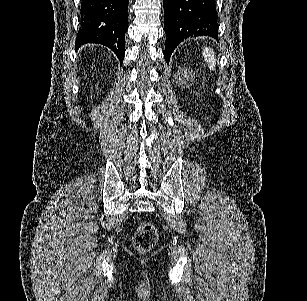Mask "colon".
Listing matches in <instances>:
<instances>
[{
  "mask_svg": "<svg viewBox=\"0 0 307 301\" xmlns=\"http://www.w3.org/2000/svg\"><path fill=\"white\" fill-rule=\"evenodd\" d=\"M158 239V231L150 222H142L133 235V246L140 253L153 249Z\"/></svg>",
  "mask_w": 307,
  "mask_h": 301,
  "instance_id": "5ec220e1",
  "label": "colon"
}]
</instances>
